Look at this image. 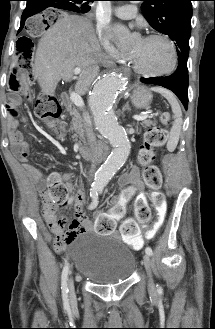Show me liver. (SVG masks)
I'll return each instance as SVG.
<instances>
[{"label":"liver","mask_w":215,"mask_h":329,"mask_svg":"<svg viewBox=\"0 0 215 329\" xmlns=\"http://www.w3.org/2000/svg\"><path fill=\"white\" fill-rule=\"evenodd\" d=\"M105 63L93 25L78 15H63L41 37L35 53L33 72L46 95H53L60 79L70 81L74 69H82L76 84L84 94Z\"/></svg>","instance_id":"liver-1"}]
</instances>
